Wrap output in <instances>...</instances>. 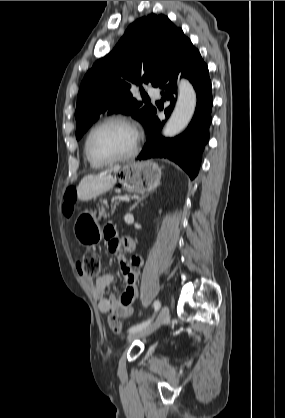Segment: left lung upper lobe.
<instances>
[{
  "label": "left lung upper lobe",
  "mask_w": 285,
  "mask_h": 418,
  "mask_svg": "<svg viewBox=\"0 0 285 418\" xmlns=\"http://www.w3.org/2000/svg\"><path fill=\"white\" fill-rule=\"evenodd\" d=\"M183 37L182 29L164 15L150 14L130 24L114 49L93 64L81 83L76 138L100 116L112 113L132 115L147 132L156 109L150 103L143 106L130 89L143 83L157 87Z\"/></svg>",
  "instance_id": "obj_1"
}]
</instances>
